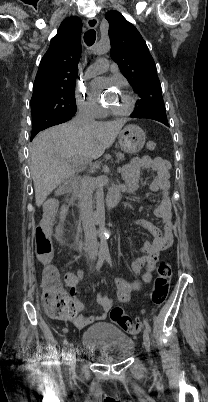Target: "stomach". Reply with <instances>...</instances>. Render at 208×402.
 Returning <instances> with one entry per match:
<instances>
[{"label": "stomach", "instance_id": "stomach-1", "mask_svg": "<svg viewBox=\"0 0 208 402\" xmlns=\"http://www.w3.org/2000/svg\"><path fill=\"white\" fill-rule=\"evenodd\" d=\"M121 150L126 154H137L145 144V134L139 126H125L118 138Z\"/></svg>", "mask_w": 208, "mask_h": 402}]
</instances>
